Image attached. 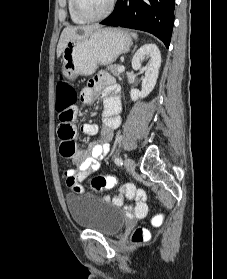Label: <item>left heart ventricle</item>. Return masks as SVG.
Wrapping results in <instances>:
<instances>
[{"label": "left heart ventricle", "mask_w": 227, "mask_h": 279, "mask_svg": "<svg viewBox=\"0 0 227 279\" xmlns=\"http://www.w3.org/2000/svg\"><path fill=\"white\" fill-rule=\"evenodd\" d=\"M110 0H78L82 12L88 16H98L103 13Z\"/></svg>", "instance_id": "1"}]
</instances>
